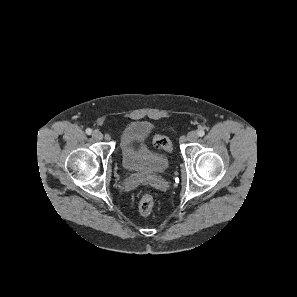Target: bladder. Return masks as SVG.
Wrapping results in <instances>:
<instances>
[{
	"mask_svg": "<svg viewBox=\"0 0 297 297\" xmlns=\"http://www.w3.org/2000/svg\"><path fill=\"white\" fill-rule=\"evenodd\" d=\"M153 130L152 124L146 121L128 123L121 132L120 151L123 167L133 173H163L169 167L166 155L151 150L147 140Z\"/></svg>",
	"mask_w": 297,
	"mask_h": 297,
	"instance_id": "obj_1",
	"label": "bladder"
}]
</instances>
